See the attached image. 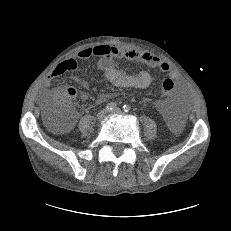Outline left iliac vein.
<instances>
[{"label":"left iliac vein","mask_w":231,"mask_h":231,"mask_svg":"<svg viewBox=\"0 0 231 231\" xmlns=\"http://www.w3.org/2000/svg\"><path fill=\"white\" fill-rule=\"evenodd\" d=\"M121 109L120 108H115L113 111H111V113H114V114H121Z\"/></svg>","instance_id":"obj_1"}]
</instances>
